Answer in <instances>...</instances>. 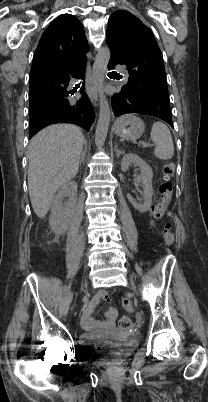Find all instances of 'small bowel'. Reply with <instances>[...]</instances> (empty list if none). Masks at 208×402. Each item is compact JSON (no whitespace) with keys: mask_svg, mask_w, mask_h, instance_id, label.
I'll list each match as a JSON object with an SVG mask.
<instances>
[{"mask_svg":"<svg viewBox=\"0 0 208 402\" xmlns=\"http://www.w3.org/2000/svg\"><path fill=\"white\" fill-rule=\"evenodd\" d=\"M151 226H154V222H151ZM107 298V295L103 292H96L94 295V299L90 302L87 309L84 311V316L88 319V321H82L80 323V328L82 330H90L92 328V324L97 323L93 316V309L98 303V301H103ZM116 318V310L114 308H109L105 313V319L99 321L102 324L104 330H111L113 327L112 321Z\"/></svg>","mask_w":208,"mask_h":402,"instance_id":"1","label":"small bowel"}]
</instances>
